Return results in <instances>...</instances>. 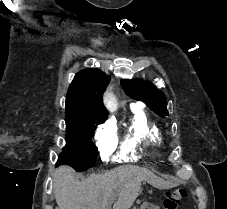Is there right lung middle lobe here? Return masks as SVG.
I'll list each match as a JSON object with an SVG mask.
<instances>
[{"instance_id": "dd1d6c3e", "label": "right lung middle lobe", "mask_w": 227, "mask_h": 209, "mask_svg": "<svg viewBox=\"0 0 227 209\" xmlns=\"http://www.w3.org/2000/svg\"><path fill=\"white\" fill-rule=\"evenodd\" d=\"M105 120L106 118L99 116L66 119V146L59 155L56 166L69 165L78 172L93 167L98 151L91 138L96 126Z\"/></svg>"}]
</instances>
